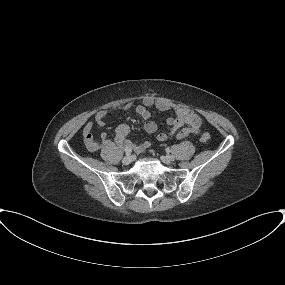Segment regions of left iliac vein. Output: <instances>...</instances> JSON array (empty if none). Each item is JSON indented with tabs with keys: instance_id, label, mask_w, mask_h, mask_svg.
<instances>
[{
	"instance_id": "4c4485c4",
	"label": "left iliac vein",
	"mask_w": 285,
	"mask_h": 285,
	"mask_svg": "<svg viewBox=\"0 0 285 285\" xmlns=\"http://www.w3.org/2000/svg\"><path fill=\"white\" fill-rule=\"evenodd\" d=\"M161 159L164 163H167V164H170L174 161V157L171 155L162 156Z\"/></svg>"
}]
</instances>
